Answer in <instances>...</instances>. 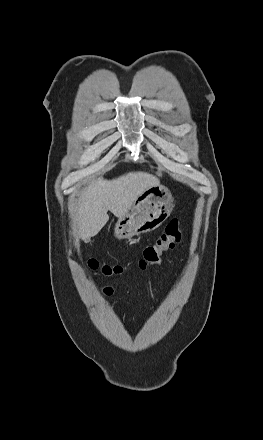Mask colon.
<instances>
[{
	"instance_id": "colon-1",
	"label": "colon",
	"mask_w": 263,
	"mask_h": 440,
	"mask_svg": "<svg viewBox=\"0 0 263 440\" xmlns=\"http://www.w3.org/2000/svg\"><path fill=\"white\" fill-rule=\"evenodd\" d=\"M181 240L180 223L173 219L166 226L165 231L158 240L150 246H147L142 257L138 261V267L141 270L151 269L160 264L162 256L173 249ZM88 265L91 269L99 271L104 277L112 278L122 275L126 267L121 265H100L95 259H89Z\"/></svg>"
}]
</instances>
